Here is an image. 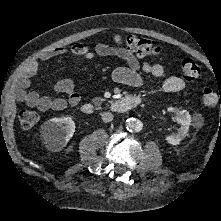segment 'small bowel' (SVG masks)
Returning <instances> with one entry per match:
<instances>
[{
    "label": "small bowel",
    "mask_w": 221,
    "mask_h": 221,
    "mask_svg": "<svg viewBox=\"0 0 221 221\" xmlns=\"http://www.w3.org/2000/svg\"><path fill=\"white\" fill-rule=\"evenodd\" d=\"M67 54H72L77 59L82 60H90L96 55L119 56L126 61L127 66L116 68L112 73L113 80L130 87H138L142 85L143 77L140 72L157 78L162 77L165 73L162 64L141 62L135 55L124 50H115L104 44H97L92 48L88 44L74 43L68 48L58 47L49 50L43 53L39 59L33 60L27 64L16 80L18 99L25 102L28 106L37 108L40 111H60L65 109L68 105L77 106L80 103L81 96L75 90L73 80L69 78L57 80L53 85L54 91L67 94V98L42 96L35 91L27 90L30 84V79L35 75L41 63ZM185 87V81L178 76H170L166 78L162 85L163 91L167 93L179 92L184 90Z\"/></svg>",
    "instance_id": "small-bowel-1"
}]
</instances>
